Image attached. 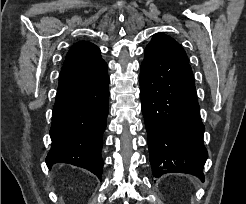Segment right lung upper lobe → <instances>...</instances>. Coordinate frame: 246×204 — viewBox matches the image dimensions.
<instances>
[{
  "label": "right lung upper lobe",
  "mask_w": 246,
  "mask_h": 204,
  "mask_svg": "<svg viewBox=\"0 0 246 204\" xmlns=\"http://www.w3.org/2000/svg\"><path fill=\"white\" fill-rule=\"evenodd\" d=\"M81 64H105L96 45L80 41L71 47L66 55L64 66Z\"/></svg>",
  "instance_id": "cb5924a9"
}]
</instances>
